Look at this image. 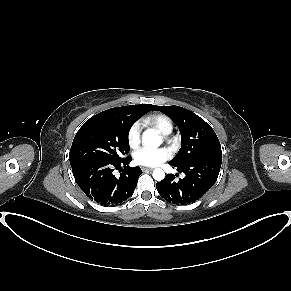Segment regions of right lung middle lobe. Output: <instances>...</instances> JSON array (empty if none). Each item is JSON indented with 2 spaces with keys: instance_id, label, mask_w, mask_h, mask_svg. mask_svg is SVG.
Wrapping results in <instances>:
<instances>
[{
  "instance_id": "right-lung-middle-lobe-1",
  "label": "right lung middle lobe",
  "mask_w": 291,
  "mask_h": 291,
  "mask_svg": "<svg viewBox=\"0 0 291 291\" xmlns=\"http://www.w3.org/2000/svg\"><path fill=\"white\" fill-rule=\"evenodd\" d=\"M138 119L125 109L103 111L88 119L73 140L71 166L89 161L115 162L130 150L128 134Z\"/></svg>"
}]
</instances>
